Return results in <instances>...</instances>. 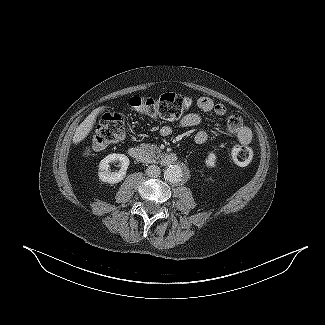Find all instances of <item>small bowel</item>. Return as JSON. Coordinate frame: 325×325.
<instances>
[{
  "label": "small bowel",
  "instance_id": "small-bowel-1",
  "mask_svg": "<svg viewBox=\"0 0 325 325\" xmlns=\"http://www.w3.org/2000/svg\"><path fill=\"white\" fill-rule=\"evenodd\" d=\"M197 107L206 113H213L217 116H224L227 113V108L222 103H215L209 97H200L197 100ZM201 116L198 113L191 112L183 116L179 121V126L182 128L195 127L201 123ZM225 131L234 135L238 142L242 145H249L252 141V132L245 126L239 115H231L225 126ZM161 136L167 137L172 133V127L163 125L159 129ZM208 134L204 130H199L194 136L197 144H203L207 141Z\"/></svg>",
  "mask_w": 325,
  "mask_h": 325
}]
</instances>
